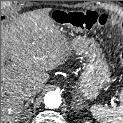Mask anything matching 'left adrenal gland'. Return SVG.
<instances>
[{
    "instance_id": "obj_1",
    "label": "left adrenal gland",
    "mask_w": 123,
    "mask_h": 123,
    "mask_svg": "<svg viewBox=\"0 0 123 123\" xmlns=\"http://www.w3.org/2000/svg\"><path fill=\"white\" fill-rule=\"evenodd\" d=\"M76 98V96L74 97V99ZM76 102H79L78 104H77V108H79V106H80V108L82 109L85 105L82 103V100H76ZM76 102H72V105H75L76 104Z\"/></svg>"
}]
</instances>
